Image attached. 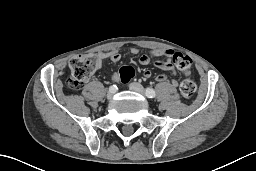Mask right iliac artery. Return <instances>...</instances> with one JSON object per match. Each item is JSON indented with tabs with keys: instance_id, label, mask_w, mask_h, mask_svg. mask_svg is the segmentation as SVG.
<instances>
[{
	"instance_id": "obj_1",
	"label": "right iliac artery",
	"mask_w": 256,
	"mask_h": 171,
	"mask_svg": "<svg viewBox=\"0 0 256 171\" xmlns=\"http://www.w3.org/2000/svg\"><path fill=\"white\" fill-rule=\"evenodd\" d=\"M109 90H111V91H113L115 93L116 90H117V86L116 85H112V86H110Z\"/></svg>"
}]
</instances>
